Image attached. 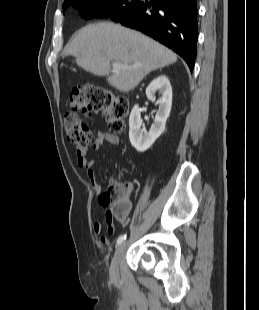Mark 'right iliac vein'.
Segmentation results:
<instances>
[{
  "instance_id": "63e3f726",
  "label": "right iliac vein",
  "mask_w": 259,
  "mask_h": 310,
  "mask_svg": "<svg viewBox=\"0 0 259 310\" xmlns=\"http://www.w3.org/2000/svg\"><path fill=\"white\" fill-rule=\"evenodd\" d=\"M126 248V243H122L120 244V246L116 249L112 262H111V266H110V276L112 279L116 280L119 277V263L121 260V257L123 255V252Z\"/></svg>"
}]
</instances>
